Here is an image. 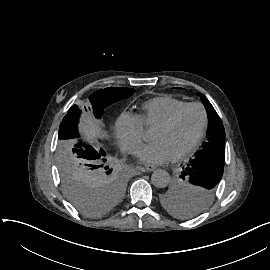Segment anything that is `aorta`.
Segmentation results:
<instances>
[{
  "label": "aorta",
  "instance_id": "1",
  "mask_svg": "<svg viewBox=\"0 0 270 270\" xmlns=\"http://www.w3.org/2000/svg\"><path fill=\"white\" fill-rule=\"evenodd\" d=\"M152 184L157 188H165L169 184L170 175L167 171L158 169L155 170L151 177Z\"/></svg>",
  "mask_w": 270,
  "mask_h": 270
}]
</instances>
